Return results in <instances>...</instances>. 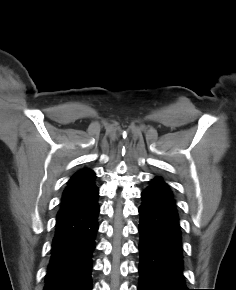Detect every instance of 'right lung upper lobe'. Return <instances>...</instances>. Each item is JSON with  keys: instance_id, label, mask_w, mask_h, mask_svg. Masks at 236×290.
Returning <instances> with one entry per match:
<instances>
[{"instance_id": "cb5924a9", "label": "right lung upper lobe", "mask_w": 236, "mask_h": 290, "mask_svg": "<svg viewBox=\"0 0 236 290\" xmlns=\"http://www.w3.org/2000/svg\"><path fill=\"white\" fill-rule=\"evenodd\" d=\"M96 175L92 170L82 169L68 181L62 195L61 208L57 215L70 212L91 202L98 193L95 185Z\"/></svg>"}]
</instances>
